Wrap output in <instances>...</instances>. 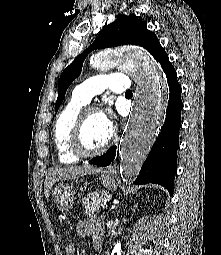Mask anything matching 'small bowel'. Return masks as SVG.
<instances>
[{
	"label": "small bowel",
	"mask_w": 221,
	"mask_h": 255,
	"mask_svg": "<svg viewBox=\"0 0 221 255\" xmlns=\"http://www.w3.org/2000/svg\"><path fill=\"white\" fill-rule=\"evenodd\" d=\"M75 232L79 237L92 236L103 239L104 237V226L102 221L98 217H88L82 221H79L75 226ZM67 255H75V246L69 244L66 248Z\"/></svg>",
	"instance_id": "obj_1"
}]
</instances>
